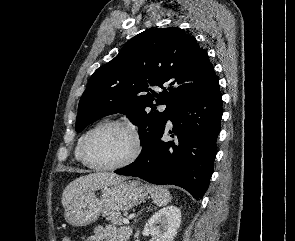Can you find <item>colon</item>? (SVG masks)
Here are the masks:
<instances>
[{
	"mask_svg": "<svg viewBox=\"0 0 295 241\" xmlns=\"http://www.w3.org/2000/svg\"><path fill=\"white\" fill-rule=\"evenodd\" d=\"M67 241H72V240H70V239H67Z\"/></svg>",
	"mask_w": 295,
	"mask_h": 241,
	"instance_id": "obj_1",
	"label": "colon"
}]
</instances>
